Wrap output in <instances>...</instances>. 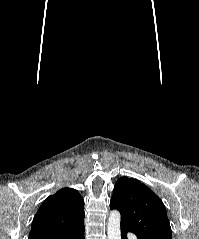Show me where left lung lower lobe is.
I'll return each instance as SVG.
<instances>
[{"label": "left lung lower lobe", "instance_id": "left-lung-lower-lobe-1", "mask_svg": "<svg viewBox=\"0 0 199 239\" xmlns=\"http://www.w3.org/2000/svg\"><path fill=\"white\" fill-rule=\"evenodd\" d=\"M127 232H132V231L128 227H126L125 225L121 224V237H122V239H127V236H126Z\"/></svg>", "mask_w": 199, "mask_h": 239}]
</instances>
